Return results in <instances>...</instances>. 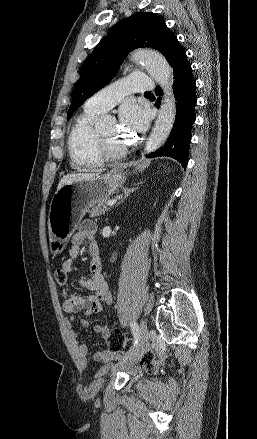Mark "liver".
Wrapping results in <instances>:
<instances>
[{"label":"liver","mask_w":257,"mask_h":439,"mask_svg":"<svg viewBox=\"0 0 257 439\" xmlns=\"http://www.w3.org/2000/svg\"><path fill=\"white\" fill-rule=\"evenodd\" d=\"M100 173H73V174H68L65 175L61 178L57 190H59L61 187H63L66 184H70L76 181H80V180H85V179H91L94 177L99 176Z\"/></svg>","instance_id":"obj_1"}]
</instances>
